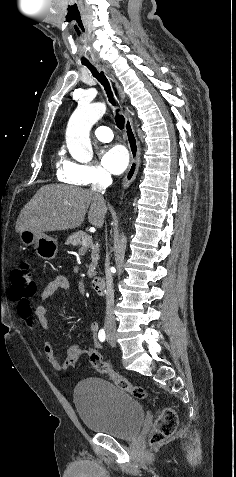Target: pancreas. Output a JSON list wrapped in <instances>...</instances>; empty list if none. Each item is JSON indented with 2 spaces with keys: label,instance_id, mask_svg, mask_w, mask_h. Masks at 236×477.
I'll use <instances>...</instances> for the list:
<instances>
[{
  "label": "pancreas",
  "instance_id": "cf45deb5",
  "mask_svg": "<svg viewBox=\"0 0 236 477\" xmlns=\"http://www.w3.org/2000/svg\"><path fill=\"white\" fill-rule=\"evenodd\" d=\"M86 238L90 239V243L85 247L82 246L81 251H82V253H85L87 251V249L92 250V263L89 266L87 274H88L89 277H94V276H96L95 267L97 266V261L99 259V254H98L99 248L92 243L91 236L88 235L87 233L83 232V231H78V232H75L74 234H72L71 236H69L67 238L66 244L67 245L71 244L73 246H80V245H82L83 239H86Z\"/></svg>",
  "mask_w": 236,
  "mask_h": 477
}]
</instances>
